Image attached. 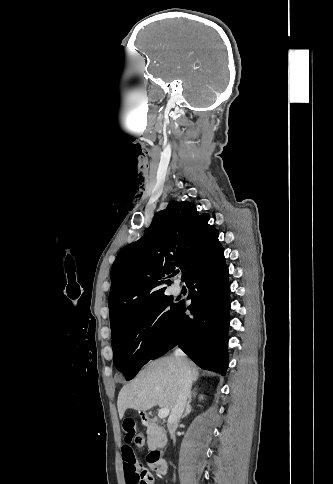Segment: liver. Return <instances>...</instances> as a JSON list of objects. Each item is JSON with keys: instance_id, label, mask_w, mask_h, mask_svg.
<instances>
[{"instance_id": "1", "label": "liver", "mask_w": 333, "mask_h": 484, "mask_svg": "<svg viewBox=\"0 0 333 484\" xmlns=\"http://www.w3.org/2000/svg\"><path fill=\"white\" fill-rule=\"evenodd\" d=\"M192 380L196 381L198 370L190 362ZM180 389V368L173 356L149 362L136 378L123 386L118 395L117 407L122 419L127 409L146 412L158 405L172 409Z\"/></svg>"}]
</instances>
